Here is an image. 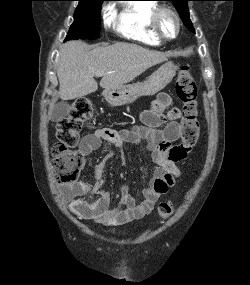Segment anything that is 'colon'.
Wrapping results in <instances>:
<instances>
[{
    "label": "colon",
    "instance_id": "obj_1",
    "mask_svg": "<svg viewBox=\"0 0 250 285\" xmlns=\"http://www.w3.org/2000/svg\"><path fill=\"white\" fill-rule=\"evenodd\" d=\"M175 92L182 103L180 115L181 139L180 147L189 149L198 139L199 122L197 119V87L188 66H183L177 77ZM94 114L92 102L81 98L74 102L66 117L57 124V139L52 149L53 167L58 180L64 184L74 183L83 168L84 159L76 150L80 140L83 123ZM174 212L171 201L161 202L158 206L160 218L167 219Z\"/></svg>",
    "mask_w": 250,
    "mask_h": 285
}]
</instances>
